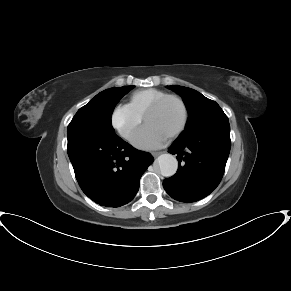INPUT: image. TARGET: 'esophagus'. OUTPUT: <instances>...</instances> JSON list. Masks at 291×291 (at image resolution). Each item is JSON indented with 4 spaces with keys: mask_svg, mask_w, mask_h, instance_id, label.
I'll return each mask as SVG.
<instances>
[{
    "mask_svg": "<svg viewBox=\"0 0 291 291\" xmlns=\"http://www.w3.org/2000/svg\"><path fill=\"white\" fill-rule=\"evenodd\" d=\"M161 153H162V152H153L152 155H153L154 157H157V156H159Z\"/></svg>",
    "mask_w": 291,
    "mask_h": 291,
    "instance_id": "obj_1",
    "label": "esophagus"
}]
</instances>
